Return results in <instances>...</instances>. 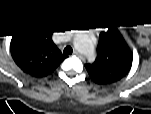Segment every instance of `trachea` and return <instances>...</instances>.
<instances>
[{
  "label": "trachea",
  "mask_w": 151,
  "mask_h": 114,
  "mask_svg": "<svg viewBox=\"0 0 151 114\" xmlns=\"http://www.w3.org/2000/svg\"><path fill=\"white\" fill-rule=\"evenodd\" d=\"M72 48L70 46H67L66 48H64V54H71L72 53Z\"/></svg>",
  "instance_id": "trachea-1"
}]
</instances>
